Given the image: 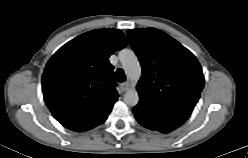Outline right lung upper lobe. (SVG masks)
I'll use <instances>...</instances> for the list:
<instances>
[{
  "instance_id": "cb5924a9",
  "label": "right lung upper lobe",
  "mask_w": 248,
  "mask_h": 158,
  "mask_svg": "<svg viewBox=\"0 0 248 158\" xmlns=\"http://www.w3.org/2000/svg\"><path fill=\"white\" fill-rule=\"evenodd\" d=\"M127 45L121 30L86 32L62 46L43 76L44 100L64 127L86 131L103 123L118 99L108 58Z\"/></svg>"
}]
</instances>
